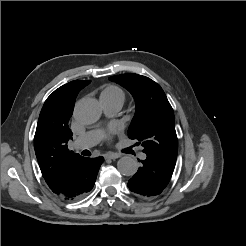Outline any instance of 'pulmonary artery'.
<instances>
[{"label": "pulmonary artery", "instance_id": "obj_1", "mask_svg": "<svg viewBox=\"0 0 246 246\" xmlns=\"http://www.w3.org/2000/svg\"><path fill=\"white\" fill-rule=\"evenodd\" d=\"M101 103L105 112L109 114L118 112L123 105L122 103L117 101H101ZM99 140V134L95 131H90L79 136L74 142V147L78 150L89 149L97 144ZM139 158L142 160L146 159V154L141 152L139 154Z\"/></svg>", "mask_w": 246, "mask_h": 246}]
</instances>
